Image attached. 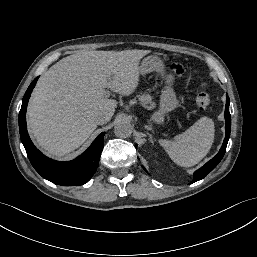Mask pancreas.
<instances>
[{
  "mask_svg": "<svg viewBox=\"0 0 257 257\" xmlns=\"http://www.w3.org/2000/svg\"><path fill=\"white\" fill-rule=\"evenodd\" d=\"M138 99L141 103V105L145 108H148L149 110L153 109L155 107V103L152 101L153 97L149 94H140L138 95Z\"/></svg>",
  "mask_w": 257,
  "mask_h": 257,
  "instance_id": "obj_1",
  "label": "pancreas"
}]
</instances>
